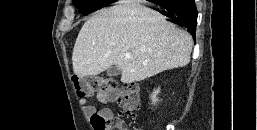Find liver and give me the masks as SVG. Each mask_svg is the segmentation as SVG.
Here are the masks:
<instances>
[{
    "instance_id": "6515ba94",
    "label": "liver",
    "mask_w": 257,
    "mask_h": 130,
    "mask_svg": "<svg viewBox=\"0 0 257 130\" xmlns=\"http://www.w3.org/2000/svg\"><path fill=\"white\" fill-rule=\"evenodd\" d=\"M192 47V37L159 12L136 2H120L84 23L73 48V71L87 77L115 65L121 70V82L130 84L186 66ZM127 53L131 58L125 57Z\"/></svg>"
}]
</instances>
